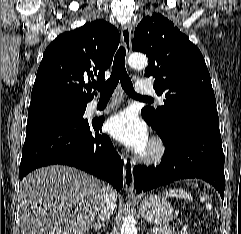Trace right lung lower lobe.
Here are the masks:
<instances>
[{"label": "right lung lower lobe", "instance_id": "obj_1", "mask_svg": "<svg viewBox=\"0 0 241 234\" xmlns=\"http://www.w3.org/2000/svg\"><path fill=\"white\" fill-rule=\"evenodd\" d=\"M104 118H55L29 121L22 149L19 178L43 166L63 164L123 186V161L108 136L101 133Z\"/></svg>", "mask_w": 241, "mask_h": 234}]
</instances>
